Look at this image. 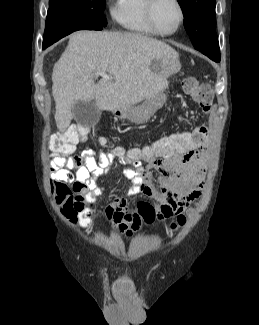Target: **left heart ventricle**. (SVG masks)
I'll return each instance as SVG.
<instances>
[{
  "label": "left heart ventricle",
  "mask_w": 259,
  "mask_h": 325,
  "mask_svg": "<svg viewBox=\"0 0 259 325\" xmlns=\"http://www.w3.org/2000/svg\"><path fill=\"white\" fill-rule=\"evenodd\" d=\"M154 21L163 32L172 31L179 20V10L173 0H157L154 11Z\"/></svg>",
  "instance_id": "1"
}]
</instances>
